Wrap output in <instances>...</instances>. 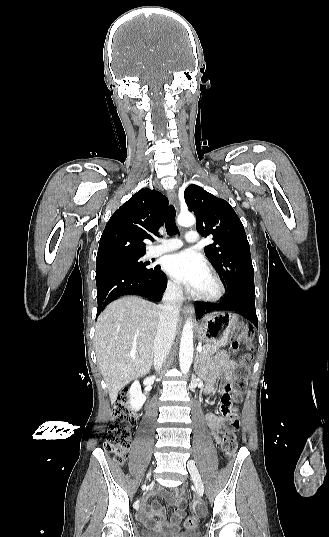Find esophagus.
<instances>
[{"mask_svg": "<svg viewBox=\"0 0 329 537\" xmlns=\"http://www.w3.org/2000/svg\"><path fill=\"white\" fill-rule=\"evenodd\" d=\"M167 194H168V198L170 200V202L176 207V209L178 210L179 209V202H178V198H177V194L176 192L173 190V189H169L167 191ZM183 313L187 314L189 312H193V308L191 306H188V305H184L183 309H182Z\"/></svg>", "mask_w": 329, "mask_h": 537, "instance_id": "obj_1", "label": "esophagus"}]
</instances>
